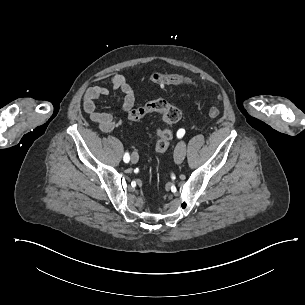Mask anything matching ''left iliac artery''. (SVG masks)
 I'll use <instances>...</instances> for the list:
<instances>
[{"label": "left iliac artery", "mask_w": 305, "mask_h": 305, "mask_svg": "<svg viewBox=\"0 0 305 305\" xmlns=\"http://www.w3.org/2000/svg\"><path fill=\"white\" fill-rule=\"evenodd\" d=\"M185 134V130L184 129H180L178 132H177V136L179 138L183 137V135Z\"/></svg>", "instance_id": "left-iliac-artery-1"}]
</instances>
